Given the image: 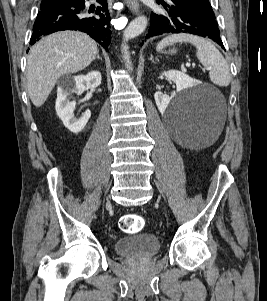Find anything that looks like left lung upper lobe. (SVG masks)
Masks as SVG:
<instances>
[{
    "label": "left lung upper lobe",
    "instance_id": "left-lung-upper-lobe-1",
    "mask_svg": "<svg viewBox=\"0 0 267 301\" xmlns=\"http://www.w3.org/2000/svg\"><path fill=\"white\" fill-rule=\"evenodd\" d=\"M183 1L194 5L196 8H198L199 10H202L208 16L215 18V14L209 3V0H183Z\"/></svg>",
    "mask_w": 267,
    "mask_h": 301
}]
</instances>
